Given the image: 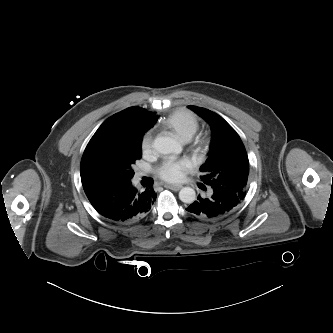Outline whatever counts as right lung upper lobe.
<instances>
[{"instance_id":"cb5924a9","label":"right lung upper lobe","mask_w":333,"mask_h":333,"mask_svg":"<svg viewBox=\"0 0 333 333\" xmlns=\"http://www.w3.org/2000/svg\"><path fill=\"white\" fill-rule=\"evenodd\" d=\"M117 114L118 116L126 114L130 119L132 118L139 121L144 126L145 132L154 125L156 119L158 118L155 116V113L148 112L140 107H130Z\"/></svg>"}]
</instances>
